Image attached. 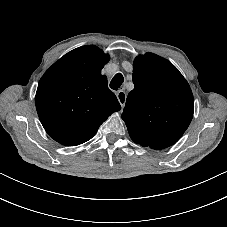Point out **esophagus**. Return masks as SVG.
I'll return each instance as SVG.
<instances>
[{
	"label": "esophagus",
	"instance_id": "obj_1",
	"mask_svg": "<svg viewBox=\"0 0 227 227\" xmlns=\"http://www.w3.org/2000/svg\"><path fill=\"white\" fill-rule=\"evenodd\" d=\"M116 96H117V99H118V101L121 105V108L123 110L125 103H126V98H127L126 92L124 90H119L117 92Z\"/></svg>",
	"mask_w": 227,
	"mask_h": 227
}]
</instances>
